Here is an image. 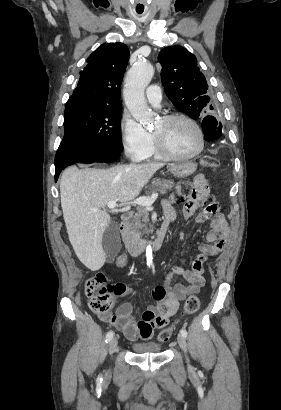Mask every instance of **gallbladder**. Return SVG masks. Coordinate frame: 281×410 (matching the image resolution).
<instances>
[{
    "mask_svg": "<svg viewBox=\"0 0 281 410\" xmlns=\"http://www.w3.org/2000/svg\"><path fill=\"white\" fill-rule=\"evenodd\" d=\"M102 246L106 261L112 263L121 249L118 226L114 222H111L106 228L102 238Z\"/></svg>",
    "mask_w": 281,
    "mask_h": 410,
    "instance_id": "1",
    "label": "gallbladder"
}]
</instances>
